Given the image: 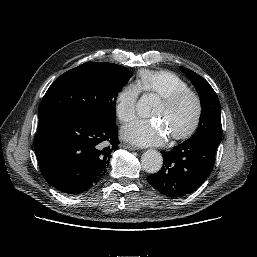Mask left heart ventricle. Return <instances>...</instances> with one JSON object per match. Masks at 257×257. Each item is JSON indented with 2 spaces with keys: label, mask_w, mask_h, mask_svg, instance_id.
I'll list each match as a JSON object with an SVG mask.
<instances>
[{
  "label": "left heart ventricle",
  "mask_w": 257,
  "mask_h": 257,
  "mask_svg": "<svg viewBox=\"0 0 257 257\" xmlns=\"http://www.w3.org/2000/svg\"><path fill=\"white\" fill-rule=\"evenodd\" d=\"M196 111L195 102L186 98L173 107L161 101L155 107L152 116L161 119L170 136L184 131L192 122Z\"/></svg>",
  "instance_id": "obj_1"
}]
</instances>
